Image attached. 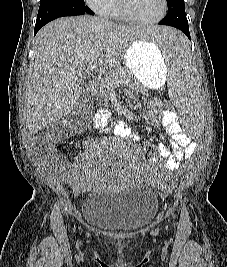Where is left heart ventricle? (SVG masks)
I'll return each mask as SVG.
<instances>
[{"label": "left heart ventricle", "mask_w": 227, "mask_h": 267, "mask_svg": "<svg viewBox=\"0 0 227 267\" xmlns=\"http://www.w3.org/2000/svg\"><path fill=\"white\" fill-rule=\"evenodd\" d=\"M130 11L140 19H153L162 9L161 0H126Z\"/></svg>", "instance_id": "obj_1"}]
</instances>
